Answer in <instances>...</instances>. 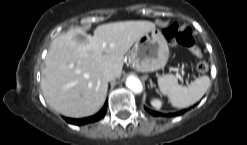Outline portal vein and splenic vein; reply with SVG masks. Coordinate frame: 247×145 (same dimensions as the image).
<instances>
[{
  "mask_svg": "<svg viewBox=\"0 0 247 145\" xmlns=\"http://www.w3.org/2000/svg\"><path fill=\"white\" fill-rule=\"evenodd\" d=\"M176 76H177V78H179L180 80L183 79L182 76H181L178 72L176 73Z\"/></svg>",
  "mask_w": 247,
  "mask_h": 145,
  "instance_id": "1",
  "label": "portal vein and splenic vein"
}]
</instances>
